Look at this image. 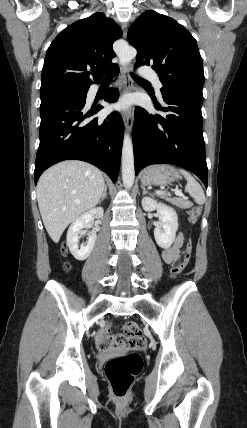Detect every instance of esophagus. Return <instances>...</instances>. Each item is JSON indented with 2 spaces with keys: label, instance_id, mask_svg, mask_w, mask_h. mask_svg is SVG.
Returning <instances> with one entry per match:
<instances>
[{
  "label": "esophagus",
  "instance_id": "esophagus-1",
  "mask_svg": "<svg viewBox=\"0 0 247 428\" xmlns=\"http://www.w3.org/2000/svg\"><path fill=\"white\" fill-rule=\"evenodd\" d=\"M122 31H123V37L126 38L127 37V32H128V27L126 24L122 25ZM132 69V65H128L127 67H123V69H121V83H122V87L124 92L128 91L130 88V71ZM123 122H124V126L126 128V130L128 132H130L132 130L133 127V119H132V115H131V111H127L126 113L123 114Z\"/></svg>",
  "mask_w": 247,
  "mask_h": 428
}]
</instances>
